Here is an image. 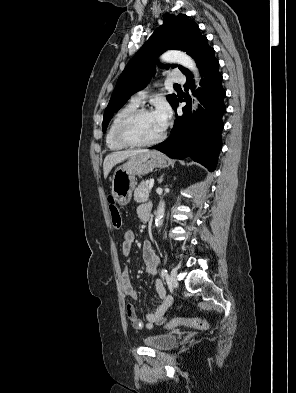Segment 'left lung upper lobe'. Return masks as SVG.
Instances as JSON below:
<instances>
[{
  "instance_id": "5c2ea615",
  "label": "left lung upper lobe",
  "mask_w": 296,
  "mask_h": 393,
  "mask_svg": "<svg viewBox=\"0 0 296 393\" xmlns=\"http://www.w3.org/2000/svg\"><path fill=\"white\" fill-rule=\"evenodd\" d=\"M170 49L187 52L195 59L197 66L214 50L208 45L207 38L200 34L198 25L194 21H190L188 16L166 14L163 25L154 31L120 75L104 113L103 132L106 131L112 115L127 102L132 94L143 89L149 83L156 72L154 55H159ZM176 66L172 65V67ZM178 67L186 76L191 75L186 68ZM167 100L173 108L178 102L175 94L168 95Z\"/></svg>"
}]
</instances>
